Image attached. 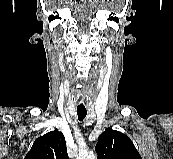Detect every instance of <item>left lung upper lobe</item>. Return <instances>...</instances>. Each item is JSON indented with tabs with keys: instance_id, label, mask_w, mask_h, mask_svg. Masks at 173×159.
Instances as JSON below:
<instances>
[{
	"instance_id": "obj_1",
	"label": "left lung upper lobe",
	"mask_w": 173,
	"mask_h": 159,
	"mask_svg": "<svg viewBox=\"0 0 173 159\" xmlns=\"http://www.w3.org/2000/svg\"><path fill=\"white\" fill-rule=\"evenodd\" d=\"M96 152L99 159H142L131 139L111 128L99 136Z\"/></svg>"
}]
</instances>
